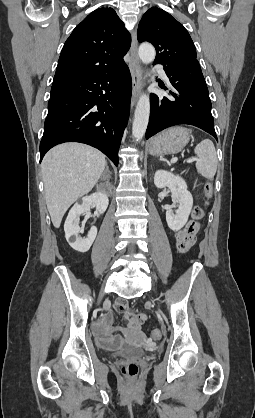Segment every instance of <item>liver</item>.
<instances>
[{
  "mask_svg": "<svg viewBox=\"0 0 255 418\" xmlns=\"http://www.w3.org/2000/svg\"><path fill=\"white\" fill-rule=\"evenodd\" d=\"M107 162L99 150L81 143H63L52 148L41 163L46 204L55 228L68 208L89 193Z\"/></svg>",
  "mask_w": 255,
  "mask_h": 418,
  "instance_id": "1",
  "label": "liver"
}]
</instances>
